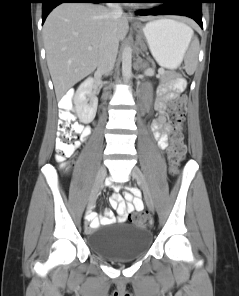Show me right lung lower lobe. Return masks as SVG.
<instances>
[{"mask_svg": "<svg viewBox=\"0 0 239 296\" xmlns=\"http://www.w3.org/2000/svg\"><path fill=\"white\" fill-rule=\"evenodd\" d=\"M111 0H41L42 3V24L48 14L61 3H106Z\"/></svg>", "mask_w": 239, "mask_h": 296, "instance_id": "98d812e1", "label": "right lung lower lobe"}]
</instances>
